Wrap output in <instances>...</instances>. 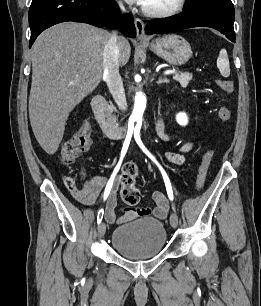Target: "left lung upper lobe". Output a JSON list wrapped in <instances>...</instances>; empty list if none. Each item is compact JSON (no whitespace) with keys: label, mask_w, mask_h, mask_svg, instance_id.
<instances>
[{"label":"left lung upper lobe","mask_w":261,"mask_h":306,"mask_svg":"<svg viewBox=\"0 0 261 306\" xmlns=\"http://www.w3.org/2000/svg\"><path fill=\"white\" fill-rule=\"evenodd\" d=\"M230 0H186L185 8H192L204 3H211V2H225Z\"/></svg>","instance_id":"obj_1"}]
</instances>
